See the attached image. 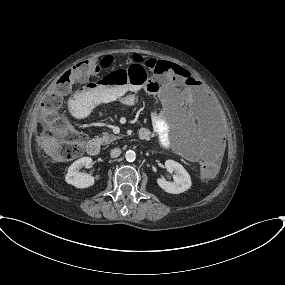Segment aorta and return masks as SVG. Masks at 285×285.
<instances>
[{
	"label": "aorta",
	"instance_id": "aorta-1",
	"mask_svg": "<svg viewBox=\"0 0 285 285\" xmlns=\"http://www.w3.org/2000/svg\"><path fill=\"white\" fill-rule=\"evenodd\" d=\"M125 158L128 162H133L136 159V153L132 150H129L125 153Z\"/></svg>",
	"mask_w": 285,
	"mask_h": 285
}]
</instances>
